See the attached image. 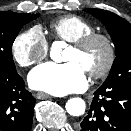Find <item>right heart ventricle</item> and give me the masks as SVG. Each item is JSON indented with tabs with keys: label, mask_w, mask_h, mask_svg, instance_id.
<instances>
[{
	"label": "right heart ventricle",
	"mask_w": 131,
	"mask_h": 131,
	"mask_svg": "<svg viewBox=\"0 0 131 131\" xmlns=\"http://www.w3.org/2000/svg\"><path fill=\"white\" fill-rule=\"evenodd\" d=\"M52 35L72 43L94 31V26L80 16L67 15L57 18L49 25Z\"/></svg>",
	"instance_id": "right-heart-ventricle-1"
}]
</instances>
